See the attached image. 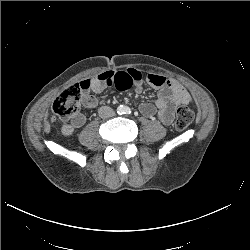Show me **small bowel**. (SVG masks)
Here are the masks:
<instances>
[{
	"instance_id": "obj_1",
	"label": "small bowel",
	"mask_w": 250,
	"mask_h": 250,
	"mask_svg": "<svg viewBox=\"0 0 250 250\" xmlns=\"http://www.w3.org/2000/svg\"><path fill=\"white\" fill-rule=\"evenodd\" d=\"M143 83L155 88L158 91V98L154 105L141 104L140 112L147 117H156L163 124L171 123L175 107L189 104L191 101L189 93L175 80L154 73L143 74L139 70L129 68L102 72L82 80L79 83L82 89L81 103L86 109H94L98 105V100L91 92L99 93L108 87L126 90L132 86L140 92ZM86 119L84 112H77L70 121L61 124V132L66 136L72 134L75 129L85 124Z\"/></svg>"
}]
</instances>
